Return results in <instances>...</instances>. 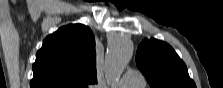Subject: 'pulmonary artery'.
Segmentation results:
<instances>
[{
    "mask_svg": "<svg viewBox=\"0 0 223 88\" xmlns=\"http://www.w3.org/2000/svg\"><path fill=\"white\" fill-rule=\"evenodd\" d=\"M117 85L123 88H139L145 85V80L141 72L129 70Z\"/></svg>",
    "mask_w": 223,
    "mask_h": 88,
    "instance_id": "obj_1",
    "label": "pulmonary artery"
}]
</instances>
